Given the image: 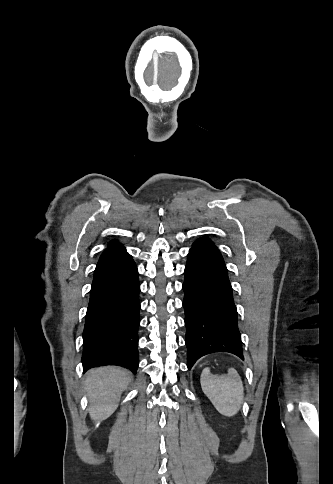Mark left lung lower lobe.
Returning a JSON list of instances; mask_svg holds the SVG:
<instances>
[{"label": "left lung lower lobe", "instance_id": "1", "mask_svg": "<svg viewBox=\"0 0 333 484\" xmlns=\"http://www.w3.org/2000/svg\"><path fill=\"white\" fill-rule=\"evenodd\" d=\"M184 273L188 369L200 357L214 352H229L243 359L227 268L210 239L203 237L193 243Z\"/></svg>", "mask_w": 333, "mask_h": 484}]
</instances>
